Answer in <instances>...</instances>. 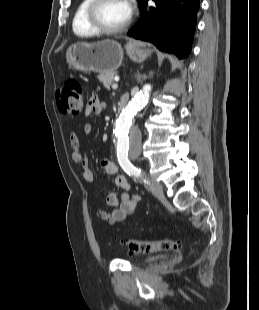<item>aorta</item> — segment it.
Instances as JSON below:
<instances>
[{
    "instance_id": "obj_1",
    "label": "aorta",
    "mask_w": 259,
    "mask_h": 310,
    "mask_svg": "<svg viewBox=\"0 0 259 310\" xmlns=\"http://www.w3.org/2000/svg\"><path fill=\"white\" fill-rule=\"evenodd\" d=\"M150 85H145L134 98L129 101L116 122L115 148L119 156L135 159L141 153V132L135 125L136 114L145 107L149 100Z\"/></svg>"
}]
</instances>
